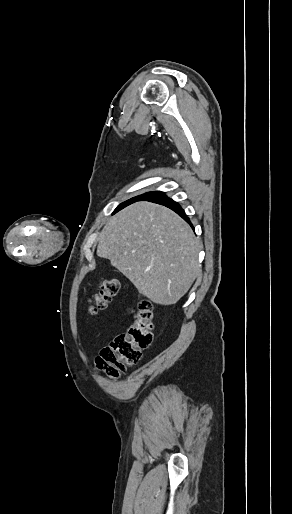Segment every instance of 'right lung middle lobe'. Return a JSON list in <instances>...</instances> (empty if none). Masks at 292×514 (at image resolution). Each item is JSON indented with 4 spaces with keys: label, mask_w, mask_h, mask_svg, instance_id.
<instances>
[{
    "label": "right lung middle lobe",
    "mask_w": 292,
    "mask_h": 514,
    "mask_svg": "<svg viewBox=\"0 0 292 514\" xmlns=\"http://www.w3.org/2000/svg\"><path fill=\"white\" fill-rule=\"evenodd\" d=\"M146 194H147V193H144V194L138 195V196H136V197H133V198H131V199H129V200H127V201H125V202L121 203V204L116 208L115 212L119 211L120 209H122V208H124V207H126V206H128V205H130V204H132V203H134V202L140 201V200H141V199H142Z\"/></svg>",
    "instance_id": "dd1d6c3e"
}]
</instances>
